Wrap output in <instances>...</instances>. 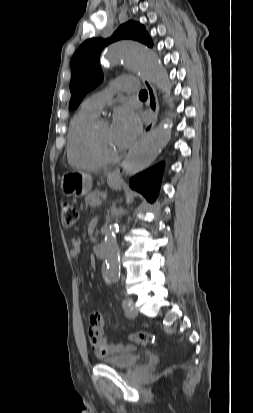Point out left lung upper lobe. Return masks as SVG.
<instances>
[{
  "label": "left lung upper lobe",
  "mask_w": 253,
  "mask_h": 413,
  "mask_svg": "<svg viewBox=\"0 0 253 413\" xmlns=\"http://www.w3.org/2000/svg\"><path fill=\"white\" fill-rule=\"evenodd\" d=\"M120 39H132L152 47L145 27L137 22L128 21L121 25L109 39H88L80 45L71 60L72 78L70 82L71 99L69 109H76L83 97L102 80L99 58L104 46Z\"/></svg>",
  "instance_id": "1"
}]
</instances>
